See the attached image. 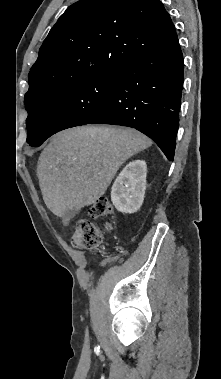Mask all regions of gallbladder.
Segmentation results:
<instances>
[{
  "label": "gallbladder",
  "mask_w": 221,
  "mask_h": 379,
  "mask_svg": "<svg viewBox=\"0 0 221 379\" xmlns=\"http://www.w3.org/2000/svg\"><path fill=\"white\" fill-rule=\"evenodd\" d=\"M78 213H79V210H75V209L65 211L64 215L62 216L63 224L65 225L68 224L69 221Z\"/></svg>",
  "instance_id": "1"
}]
</instances>
